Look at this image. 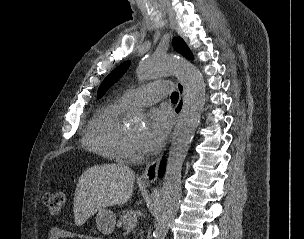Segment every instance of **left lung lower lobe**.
I'll use <instances>...</instances> for the list:
<instances>
[{
	"instance_id": "0a47b994",
	"label": "left lung lower lobe",
	"mask_w": 304,
	"mask_h": 239,
	"mask_svg": "<svg viewBox=\"0 0 304 239\" xmlns=\"http://www.w3.org/2000/svg\"><path fill=\"white\" fill-rule=\"evenodd\" d=\"M160 175H163V172H164V164L162 163L161 166H160Z\"/></svg>"
}]
</instances>
